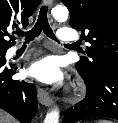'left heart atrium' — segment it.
<instances>
[{
	"label": "left heart atrium",
	"mask_w": 118,
	"mask_h": 123,
	"mask_svg": "<svg viewBox=\"0 0 118 123\" xmlns=\"http://www.w3.org/2000/svg\"><path fill=\"white\" fill-rule=\"evenodd\" d=\"M28 72L30 76L45 84H59L63 79L58 61L52 56L34 62Z\"/></svg>",
	"instance_id": "left-heart-atrium-1"
}]
</instances>
